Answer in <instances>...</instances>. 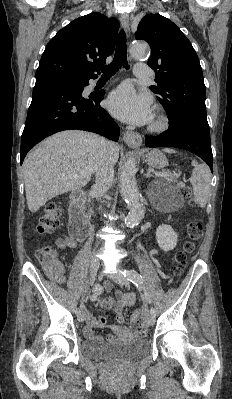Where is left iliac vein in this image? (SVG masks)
Returning <instances> with one entry per match:
<instances>
[{
  "label": "left iliac vein",
  "instance_id": "obj_1",
  "mask_svg": "<svg viewBox=\"0 0 232 399\" xmlns=\"http://www.w3.org/2000/svg\"><path fill=\"white\" fill-rule=\"evenodd\" d=\"M113 283H118L119 286H127L128 285V279L127 278H121L120 274H115L114 278L112 279ZM147 324L149 327H152L154 324V317L150 316L147 319Z\"/></svg>",
  "mask_w": 232,
  "mask_h": 399
}]
</instances>
